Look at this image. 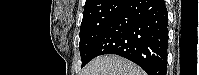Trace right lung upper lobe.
Wrapping results in <instances>:
<instances>
[{
    "instance_id": "right-lung-upper-lobe-1",
    "label": "right lung upper lobe",
    "mask_w": 199,
    "mask_h": 75,
    "mask_svg": "<svg viewBox=\"0 0 199 75\" xmlns=\"http://www.w3.org/2000/svg\"><path fill=\"white\" fill-rule=\"evenodd\" d=\"M106 0H86L85 2V8H93L102 5Z\"/></svg>"
}]
</instances>
